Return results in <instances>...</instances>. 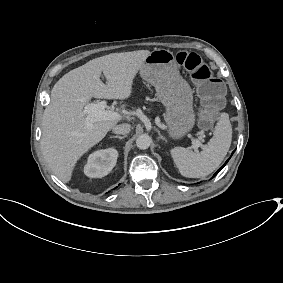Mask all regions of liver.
<instances>
[{
	"label": "liver",
	"instance_id": "6515ba94",
	"mask_svg": "<svg viewBox=\"0 0 283 283\" xmlns=\"http://www.w3.org/2000/svg\"><path fill=\"white\" fill-rule=\"evenodd\" d=\"M149 54L148 50L111 53L69 71L56 82L42 117L41 150L62 182H69L77 160L117 123L102 120L88 127L83 114L85 105L92 97L128 98L133 79ZM102 72L106 84L100 80Z\"/></svg>",
	"mask_w": 283,
	"mask_h": 283
}]
</instances>
